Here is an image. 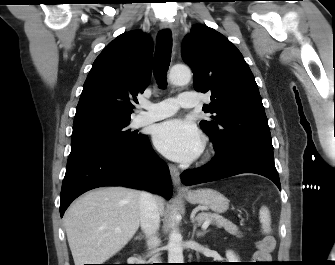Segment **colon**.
<instances>
[{"instance_id": "1", "label": "colon", "mask_w": 335, "mask_h": 265, "mask_svg": "<svg viewBox=\"0 0 335 265\" xmlns=\"http://www.w3.org/2000/svg\"><path fill=\"white\" fill-rule=\"evenodd\" d=\"M275 247V240L274 238L266 234L264 235L257 244V251L254 255L255 261L258 264H267L271 261V253Z\"/></svg>"}]
</instances>
